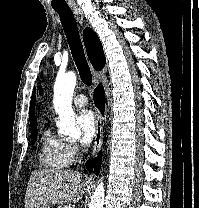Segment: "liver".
<instances>
[{"mask_svg": "<svg viewBox=\"0 0 199 208\" xmlns=\"http://www.w3.org/2000/svg\"><path fill=\"white\" fill-rule=\"evenodd\" d=\"M88 182L76 171L55 169L35 170L31 173L26 195L25 208L39 205L78 202L87 190Z\"/></svg>", "mask_w": 199, "mask_h": 208, "instance_id": "6515ba94", "label": "liver"}]
</instances>
